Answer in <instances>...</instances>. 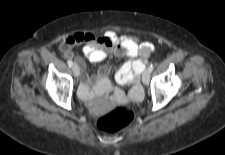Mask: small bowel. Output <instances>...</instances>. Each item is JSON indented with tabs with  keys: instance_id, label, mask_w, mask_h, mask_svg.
Listing matches in <instances>:
<instances>
[{
	"instance_id": "1",
	"label": "small bowel",
	"mask_w": 225,
	"mask_h": 155,
	"mask_svg": "<svg viewBox=\"0 0 225 155\" xmlns=\"http://www.w3.org/2000/svg\"><path fill=\"white\" fill-rule=\"evenodd\" d=\"M83 46V53L90 62H101L111 56L126 57L127 60L115 73V80L122 86H131L128 92L114 87L109 79L111 68L103 66L98 73L89 77L85 72V63L81 57H74L73 49ZM60 50L69 60L75 62L83 70L82 83L80 86V97L88 102L107 93L108 102L127 103L139 101L142 98V90L139 86V75L144 70L147 60L154 46L148 42H140L131 35H119L108 30L101 36L90 32H77L66 37L60 44ZM92 85V86H91Z\"/></svg>"
}]
</instances>
